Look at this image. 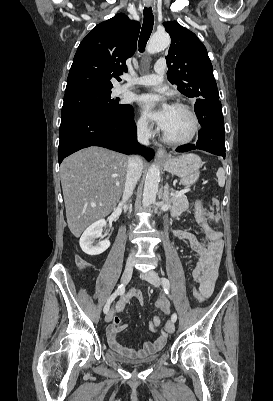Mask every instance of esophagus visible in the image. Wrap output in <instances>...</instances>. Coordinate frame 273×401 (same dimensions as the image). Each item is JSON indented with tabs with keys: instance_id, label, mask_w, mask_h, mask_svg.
I'll return each instance as SVG.
<instances>
[{
	"instance_id": "34e87169",
	"label": "esophagus",
	"mask_w": 273,
	"mask_h": 401,
	"mask_svg": "<svg viewBox=\"0 0 273 401\" xmlns=\"http://www.w3.org/2000/svg\"><path fill=\"white\" fill-rule=\"evenodd\" d=\"M147 5H149V4H147ZM156 158L159 159V160H161V159L163 160V159H167L168 158V155H167V152H166L165 148H158V150L156 152Z\"/></svg>"
}]
</instances>
